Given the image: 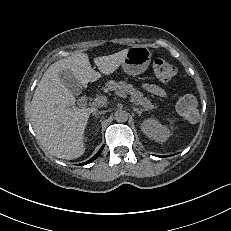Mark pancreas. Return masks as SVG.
Segmentation results:
<instances>
[{
  "mask_svg": "<svg viewBox=\"0 0 231 231\" xmlns=\"http://www.w3.org/2000/svg\"><path fill=\"white\" fill-rule=\"evenodd\" d=\"M122 91L131 96V101L138 106H142L145 110L157 108L156 105L152 104L150 100L144 97V94L133 87L132 84H127L124 81L115 82L110 80L105 84L104 91Z\"/></svg>",
  "mask_w": 231,
  "mask_h": 231,
  "instance_id": "1",
  "label": "pancreas"
}]
</instances>
